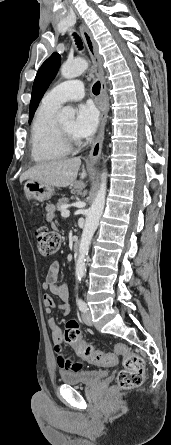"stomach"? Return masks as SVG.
<instances>
[{
    "instance_id": "0dacf381",
    "label": "stomach",
    "mask_w": 171,
    "mask_h": 445,
    "mask_svg": "<svg viewBox=\"0 0 171 445\" xmlns=\"http://www.w3.org/2000/svg\"><path fill=\"white\" fill-rule=\"evenodd\" d=\"M27 199H35L40 202L48 200L54 194L53 186L35 180H28L23 186Z\"/></svg>"
}]
</instances>
